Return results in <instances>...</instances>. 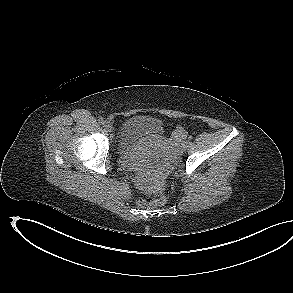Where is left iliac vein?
I'll list each match as a JSON object with an SVG mask.
<instances>
[{
    "instance_id": "4c4485c4",
    "label": "left iliac vein",
    "mask_w": 293,
    "mask_h": 293,
    "mask_svg": "<svg viewBox=\"0 0 293 293\" xmlns=\"http://www.w3.org/2000/svg\"><path fill=\"white\" fill-rule=\"evenodd\" d=\"M187 140H184L183 142H182V145H181V147H182V149L183 150H185L186 148H187Z\"/></svg>"
}]
</instances>
